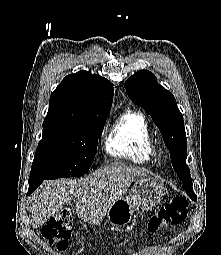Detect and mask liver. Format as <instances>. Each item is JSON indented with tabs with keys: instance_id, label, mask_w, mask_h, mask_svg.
<instances>
[{
	"instance_id": "6515ba94",
	"label": "liver",
	"mask_w": 221,
	"mask_h": 255,
	"mask_svg": "<svg viewBox=\"0 0 221 255\" xmlns=\"http://www.w3.org/2000/svg\"><path fill=\"white\" fill-rule=\"evenodd\" d=\"M146 176L148 171L142 168L115 162L85 178L44 182L29 199L32 226H43L72 200L82 220L99 226L111 205L124 197L131 183Z\"/></svg>"
}]
</instances>
